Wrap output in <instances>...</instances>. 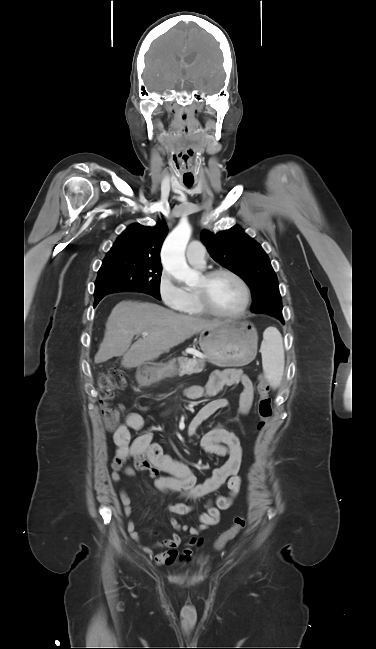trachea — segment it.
Masks as SVG:
<instances>
[{
	"label": "trachea",
	"instance_id": "trachea-1",
	"mask_svg": "<svg viewBox=\"0 0 376 649\" xmlns=\"http://www.w3.org/2000/svg\"><path fill=\"white\" fill-rule=\"evenodd\" d=\"M186 185H187V186H191V185H192V183H186Z\"/></svg>",
	"mask_w": 376,
	"mask_h": 649
}]
</instances>
